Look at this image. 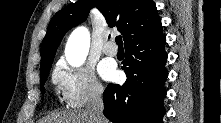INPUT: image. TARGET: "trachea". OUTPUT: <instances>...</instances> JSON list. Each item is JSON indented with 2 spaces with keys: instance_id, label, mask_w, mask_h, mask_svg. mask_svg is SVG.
I'll return each mask as SVG.
<instances>
[{
  "instance_id": "3493384b",
  "label": "trachea",
  "mask_w": 221,
  "mask_h": 123,
  "mask_svg": "<svg viewBox=\"0 0 221 123\" xmlns=\"http://www.w3.org/2000/svg\"><path fill=\"white\" fill-rule=\"evenodd\" d=\"M116 43L119 47H123V45H122V36H117L116 37Z\"/></svg>"
}]
</instances>
